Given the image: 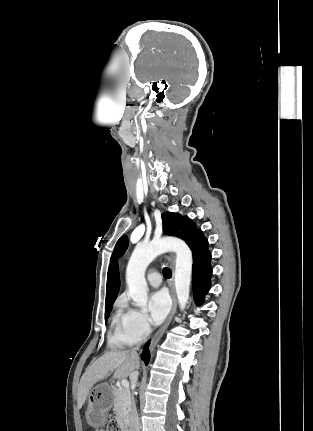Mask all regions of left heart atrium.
<instances>
[{"instance_id": "left-heart-atrium-1", "label": "left heart atrium", "mask_w": 313, "mask_h": 431, "mask_svg": "<svg viewBox=\"0 0 313 431\" xmlns=\"http://www.w3.org/2000/svg\"><path fill=\"white\" fill-rule=\"evenodd\" d=\"M150 320L153 324H160L167 316L170 309V299L163 290L154 292L148 301Z\"/></svg>"}]
</instances>
